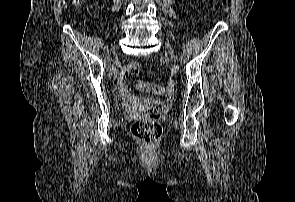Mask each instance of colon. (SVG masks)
Wrapping results in <instances>:
<instances>
[{"instance_id": "5ec220e1", "label": "colon", "mask_w": 295, "mask_h": 202, "mask_svg": "<svg viewBox=\"0 0 295 202\" xmlns=\"http://www.w3.org/2000/svg\"><path fill=\"white\" fill-rule=\"evenodd\" d=\"M75 4H80L82 0H73ZM141 66L138 62H130L128 65V72L130 75H138ZM139 91L153 90L156 94L163 95L165 88L163 86L152 84L146 81H139L136 85ZM160 109L153 105L147 107L142 116L133 124L132 134L142 144L146 146L153 145L162 134V127L159 122Z\"/></svg>"}]
</instances>
